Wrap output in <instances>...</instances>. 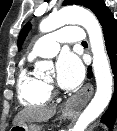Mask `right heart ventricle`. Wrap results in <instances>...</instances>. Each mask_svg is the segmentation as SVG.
Listing matches in <instances>:
<instances>
[{
    "label": "right heart ventricle",
    "instance_id": "e07e8e85",
    "mask_svg": "<svg viewBox=\"0 0 117 131\" xmlns=\"http://www.w3.org/2000/svg\"><path fill=\"white\" fill-rule=\"evenodd\" d=\"M18 99L24 107H40L50 100V90L42 79L34 76L29 68L21 69L17 80Z\"/></svg>",
    "mask_w": 117,
    "mask_h": 131
}]
</instances>
